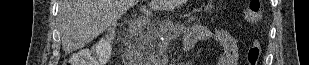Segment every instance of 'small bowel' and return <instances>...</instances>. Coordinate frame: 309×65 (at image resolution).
<instances>
[{
    "label": "small bowel",
    "mask_w": 309,
    "mask_h": 65,
    "mask_svg": "<svg viewBox=\"0 0 309 65\" xmlns=\"http://www.w3.org/2000/svg\"><path fill=\"white\" fill-rule=\"evenodd\" d=\"M213 40L221 47L216 65H237L238 45L236 38L225 29H210L205 25L192 26L187 30L184 49L190 51L199 41Z\"/></svg>",
    "instance_id": "1"
}]
</instances>
